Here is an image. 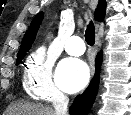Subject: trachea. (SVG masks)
Returning a JSON list of instances; mask_svg holds the SVG:
<instances>
[{"mask_svg": "<svg viewBox=\"0 0 131 115\" xmlns=\"http://www.w3.org/2000/svg\"><path fill=\"white\" fill-rule=\"evenodd\" d=\"M85 40L88 45L93 46L95 42V26L91 21L85 31Z\"/></svg>", "mask_w": 131, "mask_h": 115, "instance_id": "3493384b", "label": "trachea"}]
</instances>
